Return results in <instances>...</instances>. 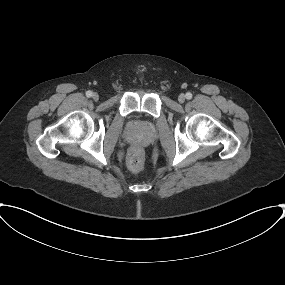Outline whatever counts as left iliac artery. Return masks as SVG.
Instances as JSON below:
<instances>
[{"label": "left iliac artery", "instance_id": "44dca946", "mask_svg": "<svg viewBox=\"0 0 285 285\" xmlns=\"http://www.w3.org/2000/svg\"><path fill=\"white\" fill-rule=\"evenodd\" d=\"M186 98H187V99H191V98H192V94H191L190 92H187V93H186Z\"/></svg>", "mask_w": 285, "mask_h": 285}]
</instances>
